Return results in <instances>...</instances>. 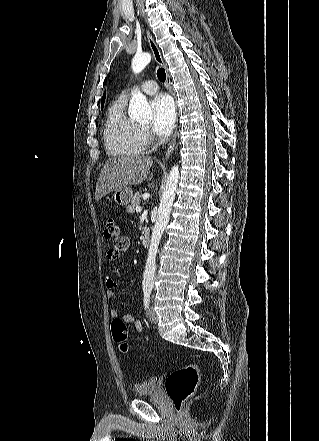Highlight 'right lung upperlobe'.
<instances>
[{
    "instance_id": "obj_1",
    "label": "right lung upper lobe",
    "mask_w": 319,
    "mask_h": 441,
    "mask_svg": "<svg viewBox=\"0 0 319 441\" xmlns=\"http://www.w3.org/2000/svg\"><path fill=\"white\" fill-rule=\"evenodd\" d=\"M104 101H105V92H104V95H103V98H102V105H104Z\"/></svg>"
}]
</instances>
